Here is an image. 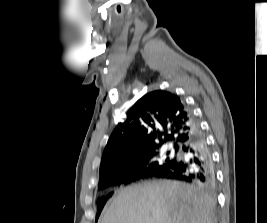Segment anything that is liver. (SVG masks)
Segmentation results:
<instances>
[{
    "instance_id": "liver-1",
    "label": "liver",
    "mask_w": 267,
    "mask_h": 223,
    "mask_svg": "<svg viewBox=\"0 0 267 223\" xmlns=\"http://www.w3.org/2000/svg\"><path fill=\"white\" fill-rule=\"evenodd\" d=\"M214 207L215 201L199 188L149 181L121 190L101 223H214Z\"/></svg>"
}]
</instances>
